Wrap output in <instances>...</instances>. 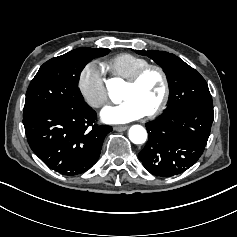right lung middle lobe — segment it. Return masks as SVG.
<instances>
[{"instance_id":"obj_1","label":"right lung middle lobe","mask_w":237,"mask_h":237,"mask_svg":"<svg viewBox=\"0 0 237 237\" xmlns=\"http://www.w3.org/2000/svg\"><path fill=\"white\" fill-rule=\"evenodd\" d=\"M108 52L81 47L45 62L28 87L23 115L49 106L83 103L77 89L80 72L87 62Z\"/></svg>"}]
</instances>
